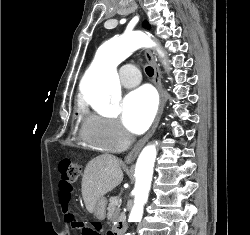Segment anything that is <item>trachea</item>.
<instances>
[{
	"label": "trachea",
	"instance_id": "trachea-1",
	"mask_svg": "<svg viewBox=\"0 0 250 235\" xmlns=\"http://www.w3.org/2000/svg\"><path fill=\"white\" fill-rule=\"evenodd\" d=\"M145 71H146L148 76H153V74H154V69L150 66L146 67Z\"/></svg>",
	"mask_w": 250,
	"mask_h": 235
}]
</instances>
